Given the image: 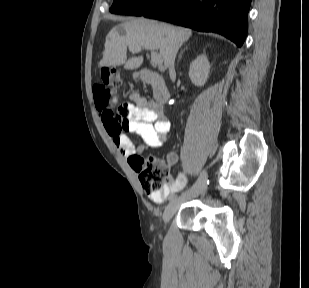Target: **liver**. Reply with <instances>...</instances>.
Returning <instances> with one entry per match:
<instances>
[{
    "mask_svg": "<svg viewBox=\"0 0 309 288\" xmlns=\"http://www.w3.org/2000/svg\"><path fill=\"white\" fill-rule=\"evenodd\" d=\"M192 35L190 29L174 27L156 21L137 18L129 19L111 29L105 41V49L100 66L124 65L127 70L139 68L143 57L127 60V47L159 50L165 68L169 67L170 50L174 44L182 45Z\"/></svg>",
    "mask_w": 309,
    "mask_h": 288,
    "instance_id": "liver-1",
    "label": "liver"
}]
</instances>
